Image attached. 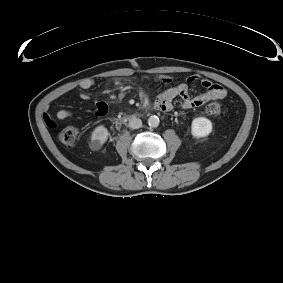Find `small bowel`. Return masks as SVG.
Masks as SVG:
<instances>
[{
  "label": "small bowel",
  "instance_id": "obj_1",
  "mask_svg": "<svg viewBox=\"0 0 283 283\" xmlns=\"http://www.w3.org/2000/svg\"><path fill=\"white\" fill-rule=\"evenodd\" d=\"M145 81H154L162 85V90L159 92L156 100V107L161 110H170L173 106L174 100H179L181 106L184 108H196L205 105L206 103L223 99L226 97V90L210 80L193 75L186 79L184 83L172 85L173 79L168 75H159L155 77H145ZM199 82L204 90L194 96L189 93V85ZM93 79H83L78 85V91L80 97L83 100L88 99L86 91L93 87ZM107 111V104L103 101L97 103V113L104 115ZM72 116V112L69 109H61L56 113L58 120H66ZM44 121L47 126L52 127L55 125V118L46 114L44 115Z\"/></svg>",
  "mask_w": 283,
  "mask_h": 283
}]
</instances>
